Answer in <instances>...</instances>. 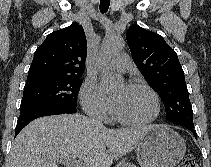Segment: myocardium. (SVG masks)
Segmentation results:
<instances>
[{
    "instance_id": "myocardium-1",
    "label": "myocardium",
    "mask_w": 211,
    "mask_h": 167,
    "mask_svg": "<svg viewBox=\"0 0 211 167\" xmlns=\"http://www.w3.org/2000/svg\"><path fill=\"white\" fill-rule=\"evenodd\" d=\"M128 86L131 88L143 89L150 93V95L152 96V98L154 100V107H155L154 113L148 119H145L142 121H134V120H129V119H126V118L120 116L115 110L114 111L115 118L120 123H122L124 125H128V126H144V125H148V124L152 123L153 121H155L158 118V116L160 114V110H161L160 99H159L157 92L151 86H149L148 84H145L143 82L133 81V82H130L128 84Z\"/></svg>"
}]
</instances>
